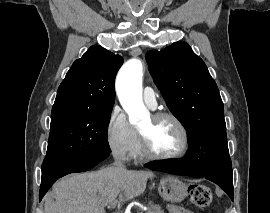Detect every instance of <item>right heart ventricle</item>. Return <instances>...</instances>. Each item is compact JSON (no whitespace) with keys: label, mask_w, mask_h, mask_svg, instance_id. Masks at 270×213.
Masks as SVG:
<instances>
[{"label":"right heart ventricle","mask_w":270,"mask_h":213,"mask_svg":"<svg viewBox=\"0 0 270 213\" xmlns=\"http://www.w3.org/2000/svg\"><path fill=\"white\" fill-rule=\"evenodd\" d=\"M132 156L134 158H136V159H142V158H144L143 155H142V152H141L140 141H139L138 136H137V141H136L135 148H134V151H133V155Z\"/></svg>","instance_id":"obj_1"}]
</instances>
